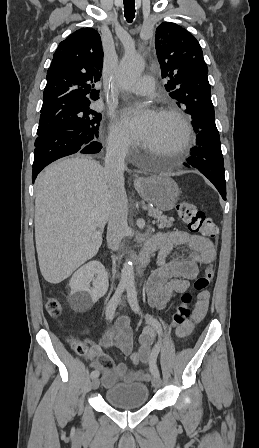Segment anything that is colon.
I'll return each mask as SVG.
<instances>
[{
    "label": "colon",
    "instance_id": "obj_1",
    "mask_svg": "<svg viewBox=\"0 0 259 448\" xmlns=\"http://www.w3.org/2000/svg\"><path fill=\"white\" fill-rule=\"evenodd\" d=\"M177 212L191 232L206 237L217 236V225L194 204L182 201L177 205ZM214 274V267L211 263L207 265L204 274L195 280L193 285L194 290L198 292L206 290L209 287ZM192 301L193 293L191 291H186L181 295L180 302L172 315V326L174 328L184 326L189 322L192 314L190 309ZM46 310L50 316L58 318L63 313V306L57 298L51 297L46 301ZM70 344L77 354L86 355L87 349L82 341L74 338L70 341ZM130 359L133 364H139L141 362L139 353L131 354Z\"/></svg>",
    "mask_w": 259,
    "mask_h": 448
}]
</instances>
